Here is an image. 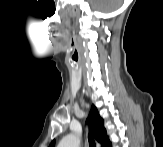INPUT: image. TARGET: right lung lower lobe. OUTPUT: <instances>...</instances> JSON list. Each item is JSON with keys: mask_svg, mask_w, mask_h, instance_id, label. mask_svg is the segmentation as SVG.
I'll return each instance as SVG.
<instances>
[{"mask_svg": "<svg viewBox=\"0 0 163 147\" xmlns=\"http://www.w3.org/2000/svg\"><path fill=\"white\" fill-rule=\"evenodd\" d=\"M105 147H111V142H109Z\"/></svg>", "mask_w": 163, "mask_h": 147, "instance_id": "obj_1", "label": "right lung lower lobe"}]
</instances>
